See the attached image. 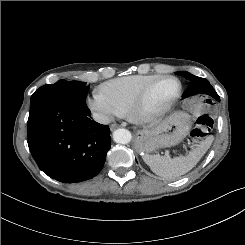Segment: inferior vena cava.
<instances>
[{
    "label": "inferior vena cava",
    "mask_w": 245,
    "mask_h": 245,
    "mask_svg": "<svg viewBox=\"0 0 245 245\" xmlns=\"http://www.w3.org/2000/svg\"><path fill=\"white\" fill-rule=\"evenodd\" d=\"M93 119L98 122V123H101V124H108L110 123V118L105 116V115H102L100 113H94L93 114Z\"/></svg>",
    "instance_id": "602c4592"
}]
</instances>
